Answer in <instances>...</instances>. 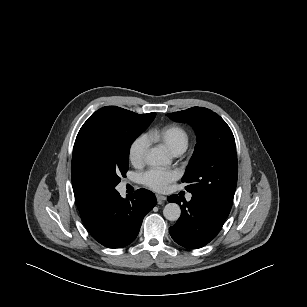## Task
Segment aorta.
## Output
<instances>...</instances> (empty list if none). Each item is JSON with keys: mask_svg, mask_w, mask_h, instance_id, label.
I'll use <instances>...</instances> for the list:
<instances>
[{"mask_svg": "<svg viewBox=\"0 0 307 307\" xmlns=\"http://www.w3.org/2000/svg\"><path fill=\"white\" fill-rule=\"evenodd\" d=\"M146 163L151 166H161L170 163L169 158L162 149L152 148L145 157ZM164 217L169 221H176L181 216L180 206L176 203H168L163 209Z\"/></svg>", "mask_w": 307, "mask_h": 307, "instance_id": "1", "label": "aorta"}]
</instances>
